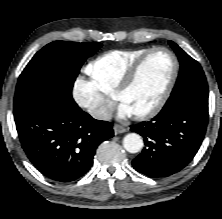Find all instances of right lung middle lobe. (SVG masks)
I'll list each match as a JSON object with an SVG mask.
<instances>
[{"label": "right lung middle lobe", "mask_w": 222, "mask_h": 219, "mask_svg": "<svg viewBox=\"0 0 222 219\" xmlns=\"http://www.w3.org/2000/svg\"><path fill=\"white\" fill-rule=\"evenodd\" d=\"M102 47L100 42L54 41L38 51L21 73L14 112L54 93H72L74 81L86 59Z\"/></svg>", "instance_id": "1"}]
</instances>
